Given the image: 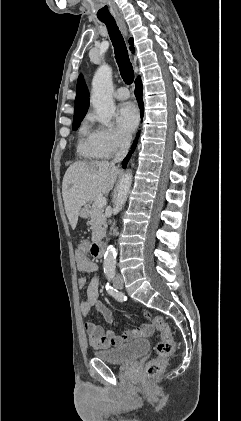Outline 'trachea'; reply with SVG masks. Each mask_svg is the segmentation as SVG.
<instances>
[{
    "label": "trachea",
    "instance_id": "1",
    "mask_svg": "<svg viewBox=\"0 0 241 421\" xmlns=\"http://www.w3.org/2000/svg\"><path fill=\"white\" fill-rule=\"evenodd\" d=\"M103 22L113 43L115 59L119 66L121 77L126 84H131L134 80V71L130 62L126 44L114 19H100Z\"/></svg>",
    "mask_w": 241,
    "mask_h": 421
}]
</instances>
